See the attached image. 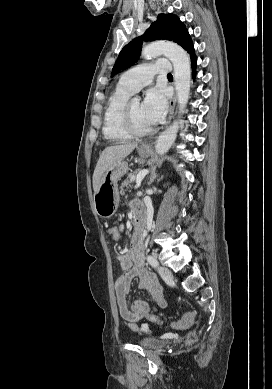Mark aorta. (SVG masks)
Returning <instances> with one entry per match:
<instances>
[{
	"label": "aorta",
	"instance_id": "762f6f07",
	"mask_svg": "<svg viewBox=\"0 0 272 389\" xmlns=\"http://www.w3.org/2000/svg\"><path fill=\"white\" fill-rule=\"evenodd\" d=\"M165 55L174 67V79L180 113L187 105L191 86V64L187 52L171 42H153L142 49L145 59ZM179 129V121H174L159 137L155 145L156 152L164 155L174 143Z\"/></svg>",
	"mask_w": 272,
	"mask_h": 389
}]
</instances>
